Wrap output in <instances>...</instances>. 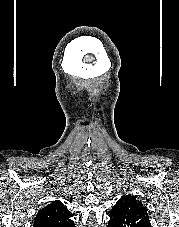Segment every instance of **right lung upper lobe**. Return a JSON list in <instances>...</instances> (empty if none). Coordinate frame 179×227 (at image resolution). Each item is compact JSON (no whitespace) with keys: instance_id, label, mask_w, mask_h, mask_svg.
<instances>
[{"instance_id":"obj_1","label":"right lung upper lobe","mask_w":179,"mask_h":227,"mask_svg":"<svg viewBox=\"0 0 179 227\" xmlns=\"http://www.w3.org/2000/svg\"><path fill=\"white\" fill-rule=\"evenodd\" d=\"M71 214L58 200L42 208L36 215L33 227H75Z\"/></svg>"}]
</instances>
